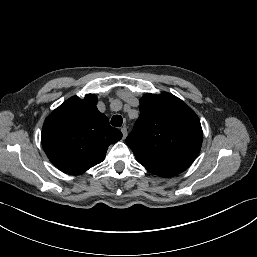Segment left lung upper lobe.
I'll return each instance as SVG.
<instances>
[{
  "mask_svg": "<svg viewBox=\"0 0 257 257\" xmlns=\"http://www.w3.org/2000/svg\"><path fill=\"white\" fill-rule=\"evenodd\" d=\"M203 133L195 112L170 93L140 99V116L126 138L135 157L152 173L178 174L197 157Z\"/></svg>",
  "mask_w": 257,
  "mask_h": 257,
  "instance_id": "5c2ea615",
  "label": "left lung upper lobe"
}]
</instances>
